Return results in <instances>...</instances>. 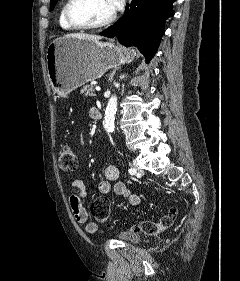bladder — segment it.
Wrapping results in <instances>:
<instances>
[{
	"mask_svg": "<svg viewBox=\"0 0 240 281\" xmlns=\"http://www.w3.org/2000/svg\"><path fill=\"white\" fill-rule=\"evenodd\" d=\"M142 234L133 231H124L118 234L117 238L123 242L138 244L142 240Z\"/></svg>",
	"mask_w": 240,
	"mask_h": 281,
	"instance_id": "31cf9c89",
	"label": "bladder"
}]
</instances>
